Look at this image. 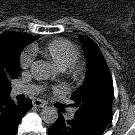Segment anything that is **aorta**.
Here are the masks:
<instances>
[{
    "label": "aorta",
    "instance_id": "1",
    "mask_svg": "<svg viewBox=\"0 0 135 135\" xmlns=\"http://www.w3.org/2000/svg\"><path fill=\"white\" fill-rule=\"evenodd\" d=\"M31 73L36 80H48L55 74L52 66L43 60L32 63ZM41 118L47 124H54L58 119V111L54 107H45Z\"/></svg>",
    "mask_w": 135,
    "mask_h": 135
}]
</instances>
